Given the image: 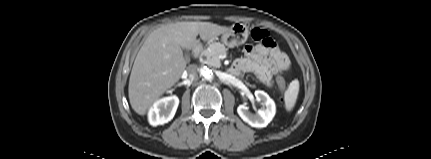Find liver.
<instances>
[{
  "instance_id": "liver-1",
  "label": "liver",
  "mask_w": 431,
  "mask_h": 159,
  "mask_svg": "<svg viewBox=\"0 0 431 159\" xmlns=\"http://www.w3.org/2000/svg\"><path fill=\"white\" fill-rule=\"evenodd\" d=\"M229 29L211 22H177L152 31L140 48L129 79L132 109L145 115L148 109L180 79L186 68L182 49L212 42Z\"/></svg>"
}]
</instances>
